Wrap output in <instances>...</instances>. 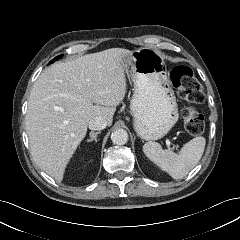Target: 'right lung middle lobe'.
I'll use <instances>...</instances> for the list:
<instances>
[{
	"label": "right lung middle lobe",
	"mask_w": 240,
	"mask_h": 240,
	"mask_svg": "<svg viewBox=\"0 0 240 240\" xmlns=\"http://www.w3.org/2000/svg\"><path fill=\"white\" fill-rule=\"evenodd\" d=\"M60 56H57L56 58H54L50 63L54 62L55 60H57Z\"/></svg>",
	"instance_id": "dd1d6c3e"
}]
</instances>
